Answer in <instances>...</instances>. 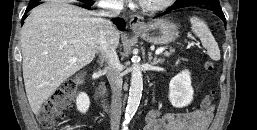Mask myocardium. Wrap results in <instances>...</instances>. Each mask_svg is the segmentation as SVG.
<instances>
[{"mask_svg": "<svg viewBox=\"0 0 257 130\" xmlns=\"http://www.w3.org/2000/svg\"><path fill=\"white\" fill-rule=\"evenodd\" d=\"M174 1L175 0H161L160 2L155 3V4H149V3L142 2V3H140V5L146 11L158 12V11H162V10L168 8Z\"/></svg>", "mask_w": 257, "mask_h": 130, "instance_id": "1", "label": "myocardium"}]
</instances>
